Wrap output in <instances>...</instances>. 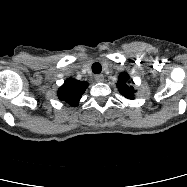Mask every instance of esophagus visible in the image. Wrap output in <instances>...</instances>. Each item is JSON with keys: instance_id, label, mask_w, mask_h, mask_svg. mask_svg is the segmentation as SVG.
<instances>
[{"instance_id": "34e87169", "label": "esophagus", "mask_w": 187, "mask_h": 187, "mask_svg": "<svg viewBox=\"0 0 187 187\" xmlns=\"http://www.w3.org/2000/svg\"><path fill=\"white\" fill-rule=\"evenodd\" d=\"M96 82H103L104 81V76L102 74H98L95 76Z\"/></svg>"}]
</instances>
